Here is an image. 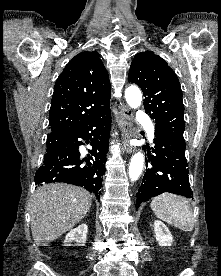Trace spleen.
I'll list each match as a JSON object with an SVG mask.
<instances>
[{"instance_id":"1","label":"spleen","mask_w":221,"mask_h":276,"mask_svg":"<svg viewBox=\"0 0 221 276\" xmlns=\"http://www.w3.org/2000/svg\"><path fill=\"white\" fill-rule=\"evenodd\" d=\"M150 207L159 219L168 224L185 232L193 230V213L189 201L184 197L163 193L151 201Z\"/></svg>"}]
</instances>
